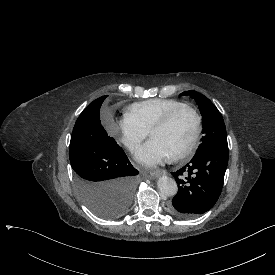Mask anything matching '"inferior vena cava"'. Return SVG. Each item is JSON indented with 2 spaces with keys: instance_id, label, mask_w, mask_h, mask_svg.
<instances>
[{
  "instance_id": "1",
  "label": "inferior vena cava",
  "mask_w": 275,
  "mask_h": 275,
  "mask_svg": "<svg viewBox=\"0 0 275 275\" xmlns=\"http://www.w3.org/2000/svg\"><path fill=\"white\" fill-rule=\"evenodd\" d=\"M126 146L131 152H133L135 150V147L137 146V143L135 141L127 140Z\"/></svg>"
}]
</instances>
